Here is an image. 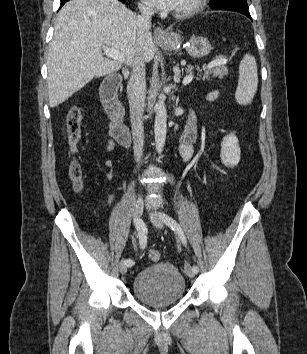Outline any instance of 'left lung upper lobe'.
I'll list each match as a JSON object with an SVG mask.
<instances>
[{
    "instance_id": "1",
    "label": "left lung upper lobe",
    "mask_w": 307,
    "mask_h": 354,
    "mask_svg": "<svg viewBox=\"0 0 307 354\" xmlns=\"http://www.w3.org/2000/svg\"><path fill=\"white\" fill-rule=\"evenodd\" d=\"M210 7L248 9L246 0H210Z\"/></svg>"
}]
</instances>
